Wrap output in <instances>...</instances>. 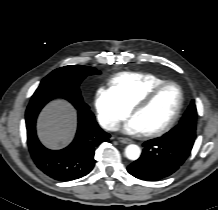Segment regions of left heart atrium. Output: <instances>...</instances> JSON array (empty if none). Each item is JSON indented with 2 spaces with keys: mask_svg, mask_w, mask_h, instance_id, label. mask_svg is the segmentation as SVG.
Masks as SVG:
<instances>
[{
  "mask_svg": "<svg viewBox=\"0 0 218 210\" xmlns=\"http://www.w3.org/2000/svg\"><path fill=\"white\" fill-rule=\"evenodd\" d=\"M124 129L129 134L142 133V129L134 117L129 120V122L125 125Z\"/></svg>",
  "mask_w": 218,
  "mask_h": 210,
  "instance_id": "obj_1",
  "label": "left heart atrium"
}]
</instances>
